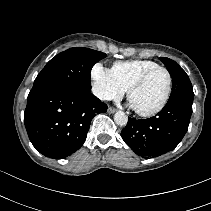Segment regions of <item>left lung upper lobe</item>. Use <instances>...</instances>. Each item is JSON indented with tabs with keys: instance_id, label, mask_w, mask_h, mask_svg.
I'll return each mask as SVG.
<instances>
[{
	"instance_id": "obj_1",
	"label": "left lung upper lobe",
	"mask_w": 211,
	"mask_h": 211,
	"mask_svg": "<svg viewBox=\"0 0 211 211\" xmlns=\"http://www.w3.org/2000/svg\"><path fill=\"white\" fill-rule=\"evenodd\" d=\"M159 59L167 67L172 77V92L169 100L175 98L193 100V87L185 71L175 61L169 58L160 57Z\"/></svg>"
}]
</instances>
